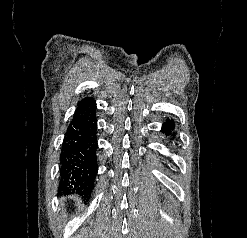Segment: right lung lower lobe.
I'll list each match as a JSON object with an SVG mask.
<instances>
[{"instance_id": "right-lung-lower-lobe-1", "label": "right lung lower lobe", "mask_w": 247, "mask_h": 238, "mask_svg": "<svg viewBox=\"0 0 247 238\" xmlns=\"http://www.w3.org/2000/svg\"><path fill=\"white\" fill-rule=\"evenodd\" d=\"M95 112L94 99H82L68 127L61 150L59 184V188L65 193L78 191L87 195L94 188L98 171Z\"/></svg>"}]
</instances>
